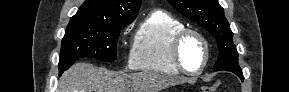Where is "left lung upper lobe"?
Listing matches in <instances>:
<instances>
[{
    "label": "left lung upper lobe",
    "instance_id": "obj_1",
    "mask_svg": "<svg viewBox=\"0 0 289 92\" xmlns=\"http://www.w3.org/2000/svg\"><path fill=\"white\" fill-rule=\"evenodd\" d=\"M168 3L212 34L220 50L214 70L242 72L238 52L233 43V32L217 0H167Z\"/></svg>",
    "mask_w": 289,
    "mask_h": 92
}]
</instances>
